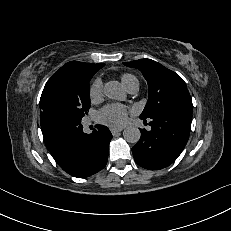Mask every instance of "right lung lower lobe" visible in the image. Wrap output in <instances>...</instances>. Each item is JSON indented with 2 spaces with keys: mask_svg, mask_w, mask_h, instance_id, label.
Listing matches in <instances>:
<instances>
[{
  "mask_svg": "<svg viewBox=\"0 0 231 231\" xmlns=\"http://www.w3.org/2000/svg\"><path fill=\"white\" fill-rule=\"evenodd\" d=\"M111 139L106 126L96 125L91 134H86L79 123L45 137V144L65 172L86 178L105 167Z\"/></svg>",
  "mask_w": 231,
  "mask_h": 231,
  "instance_id": "right-lung-lower-lobe-1",
  "label": "right lung lower lobe"
}]
</instances>
